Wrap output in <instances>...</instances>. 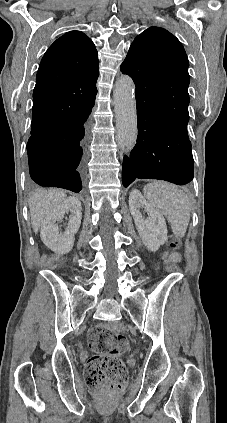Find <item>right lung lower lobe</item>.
I'll list each match as a JSON object with an SVG mask.
<instances>
[{
	"label": "right lung lower lobe",
	"instance_id": "right-lung-lower-lobe-1",
	"mask_svg": "<svg viewBox=\"0 0 227 423\" xmlns=\"http://www.w3.org/2000/svg\"><path fill=\"white\" fill-rule=\"evenodd\" d=\"M94 104L95 96L86 95L66 101L33 100L32 125L54 124L27 143L30 176L37 185L81 191L80 175L87 157L86 121Z\"/></svg>",
	"mask_w": 227,
	"mask_h": 423
}]
</instances>
